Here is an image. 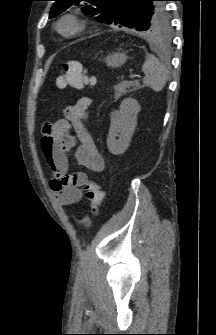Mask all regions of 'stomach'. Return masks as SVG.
I'll list each match as a JSON object with an SVG mask.
<instances>
[{
    "label": "stomach",
    "mask_w": 216,
    "mask_h": 335,
    "mask_svg": "<svg viewBox=\"0 0 216 335\" xmlns=\"http://www.w3.org/2000/svg\"><path fill=\"white\" fill-rule=\"evenodd\" d=\"M128 57L125 53H114L112 55L107 56L104 59V62L108 67L116 68L122 66L126 61Z\"/></svg>",
    "instance_id": "obj_1"
}]
</instances>
